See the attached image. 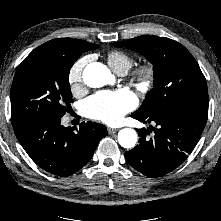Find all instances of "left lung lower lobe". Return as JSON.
I'll return each mask as SVG.
<instances>
[{
	"label": "left lung lower lobe",
	"mask_w": 221,
	"mask_h": 221,
	"mask_svg": "<svg viewBox=\"0 0 221 221\" xmlns=\"http://www.w3.org/2000/svg\"><path fill=\"white\" fill-rule=\"evenodd\" d=\"M131 116L155 126L137 129L139 144L124 154L127 162L148 177H161L180 166L193 151L203 132L208 111L194 106L180 107L162 115ZM153 131V135L150 132Z\"/></svg>",
	"instance_id": "left-lung-lower-lobe-1"
}]
</instances>
